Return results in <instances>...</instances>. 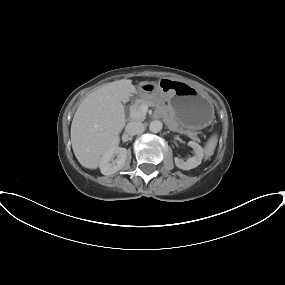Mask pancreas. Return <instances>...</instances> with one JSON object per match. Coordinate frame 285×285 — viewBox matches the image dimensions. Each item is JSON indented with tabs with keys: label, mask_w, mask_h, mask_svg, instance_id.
Returning a JSON list of instances; mask_svg holds the SVG:
<instances>
[{
	"label": "pancreas",
	"mask_w": 285,
	"mask_h": 285,
	"mask_svg": "<svg viewBox=\"0 0 285 285\" xmlns=\"http://www.w3.org/2000/svg\"><path fill=\"white\" fill-rule=\"evenodd\" d=\"M142 105H147L149 107H156V106H158V104L154 100H150V99H147V98H139V99H136L134 104L130 107V111L131 110L139 111ZM131 118L134 119V120H141L142 121V120L145 119V116L142 115L140 117H134V116L131 115ZM185 133L191 139L198 140L196 132L187 130V131H185Z\"/></svg>",
	"instance_id": "cf45deb5"
}]
</instances>
